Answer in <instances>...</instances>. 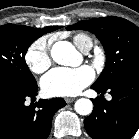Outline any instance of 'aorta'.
Segmentation results:
<instances>
[{
  "instance_id": "762f6f07",
  "label": "aorta",
  "mask_w": 139,
  "mask_h": 139,
  "mask_svg": "<svg viewBox=\"0 0 139 139\" xmlns=\"http://www.w3.org/2000/svg\"><path fill=\"white\" fill-rule=\"evenodd\" d=\"M51 56L60 65L72 66L76 63L78 52L71 43L58 41L52 46ZM92 110L93 103L89 99L81 98L75 102V111L80 115H89Z\"/></svg>"
}]
</instances>
